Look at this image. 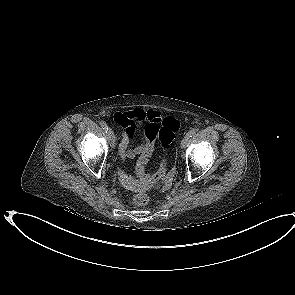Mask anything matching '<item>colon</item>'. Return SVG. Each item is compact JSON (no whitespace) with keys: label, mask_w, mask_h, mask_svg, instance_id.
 Instances as JSON below:
<instances>
[{"label":"colon","mask_w":295,"mask_h":295,"mask_svg":"<svg viewBox=\"0 0 295 295\" xmlns=\"http://www.w3.org/2000/svg\"><path fill=\"white\" fill-rule=\"evenodd\" d=\"M179 122L175 118L167 117L158 122H152L151 125L145 127V136L149 138V143L144 147L142 156L136 164V173L143 181H148L150 184L156 183L165 177L167 171V159L164 158L154 175H148L145 172V167L149 159L153 157L155 145L158 139L164 150L170 147L176 132L179 129ZM149 202V197L144 192H136L133 195V203L137 206H144Z\"/></svg>","instance_id":"1"}]
</instances>
